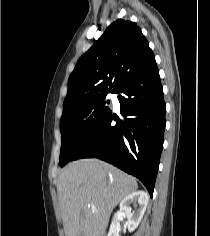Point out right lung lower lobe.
I'll return each mask as SVG.
<instances>
[{
  "instance_id": "1",
  "label": "right lung lower lobe",
  "mask_w": 210,
  "mask_h": 236,
  "mask_svg": "<svg viewBox=\"0 0 210 236\" xmlns=\"http://www.w3.org/2000/svg\"><path fill=\"white\" fill-rule=\"evenodd\" d=\"M120 113L110 111L83 143L72 160L96 157L137 177L153 195L163 148L165 102L157 65L122 84Z\"/></svg>"
}]
</instances>
